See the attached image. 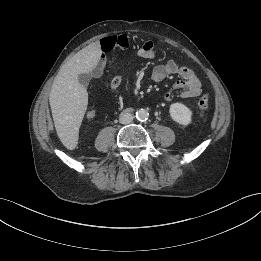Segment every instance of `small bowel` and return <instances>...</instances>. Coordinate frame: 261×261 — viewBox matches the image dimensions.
<instances>
[{"instance_id":"obj_1","label":"small bowel","mask_w":261,"mask_h":261,"mask_svg":"<svg viewBox=\"0 0 261 261\" xmlns=\"http://www.w3.org/2000/svg\"><path fill=\"white\" fill-rule=\"evenodd\" d=\"M130 47V40L126 35H110L104 37L100 41V49L102 56L100 61L94 70V76L100 77L103 73L105 54L115 50H125ZM135 52L142 58H154L156 55V46L152 40H146L142 45L135 48ZM171 75H177L180 77V81H177L172 90L167 93L166 100L172 99L173 91H179L182 98H195L201 94L202 87L200 80L194 73V71L187 66L181 65L177 60L171 59L164 64L157 65L152 73L151 79L154 82L160 83ZM122 83V76L120 74L114 76L110 82L111 89H118ZM95 112L90 110L87 112V118L93 119Z\"/></svg>"}]
</instances>
